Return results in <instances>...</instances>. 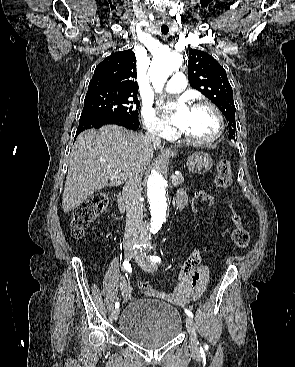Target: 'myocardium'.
Instances as JSON below:
<instances>
[{
  "label": "myocardium",
  "instance_id": "1",
  "mask_svg": "<svg viewBox=\"0 0 295 367\" xmlns=\"http://www.w3.org/2000/svg\"><path fill=\"white\" fill-rule=\"evenodd\" d=\"M198 107H207L214 113L217 119V123H218V128L216 132L214 133V135H212L211 137L207 139H195L183 131H181L180 134L190 144H193L196 146L210 145L216 142L222 136L224 132V128H225L224 118H223L221 111L218 109V107L209 101L200 100V101L195 102L192 105V108H198Z\"/></svg>",
  "mask_w": 295,
  "mask_h": 367
}]
</instances>
